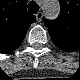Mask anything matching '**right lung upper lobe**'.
<instances>
[{"mask_svg":"<svg viewBox=\"0 0 80 80\" xmlns=\"http://www.w3.org/2000/svg\"><path fill=\"white\" fill-rule=\"evenodd\" d=\"M35 20L36 17L26 10L24 0H11L0 12V46L16 49Z\"/></svg>","mask_w":80,"mask_h":80,"instance_id":"cb5924a9","label":"right lung upper lobe"}]
</instances>
